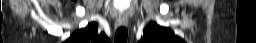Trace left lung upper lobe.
Masks as SVG:
<instances>
[{"instance_id": "5c2ea615", "label": "left lung upper lobe", "mask_w": 256, "mask_h": 43, "mask_svg": "<svg viewBox=\"0 0 256 43\" xmlns=\"http://www.w3.org/2000/svg\"><path fill=\"white\" fill-rule=\"evenodd\" d=\"M139 43H185L169 28L161 27L155 22H150L143 31Z\"/></svg>"}]
</instances>
